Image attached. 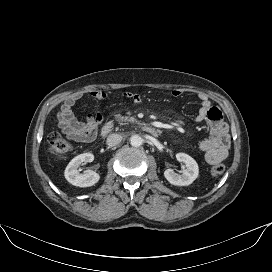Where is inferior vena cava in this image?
<instances>
[{
	"mask_svg": "<svg viewBox=\"0 0 272 272\" xmlns=\"http://www.w3.org/2000/svg\"><path fill=\"white\" fill-rule=\"evenodd\" d=\"M121 141H122V136L120 134H110L107 137L106 143L109 147H113L119 144Z\"/></svg>",
	"mask_w": 272,
	"mask_h": 272,
	"instance_id": "obj_1",
	"label": "inferior vena cava"
}]
</instances>
